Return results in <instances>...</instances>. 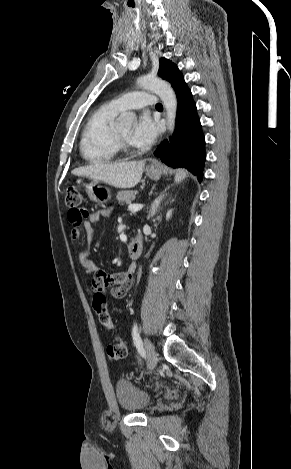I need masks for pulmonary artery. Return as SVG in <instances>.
Returning a JSON list of instances; mask_svg holds the SVG:
<instances>
[{
    "mask_svg": "<svg viewBox=\"0 0 291 469\" xmlns=\"http://www.w3.org/2000/svg\"><path fill=\"white\" fill-rule=\"evenodd\" d=\"M111 103L120 111L128 109H140L146 106H154L157 103L156 97L147 91H136L121 95Z\"/></svg>",
    "mask_w": 291,
    "mask_h": 469,
    "instance_id": "obj_1",
    "label": "pulmonary artery"
}]
</instances>
